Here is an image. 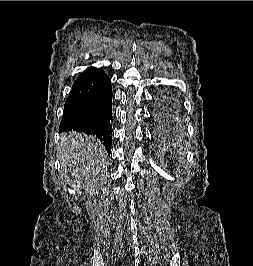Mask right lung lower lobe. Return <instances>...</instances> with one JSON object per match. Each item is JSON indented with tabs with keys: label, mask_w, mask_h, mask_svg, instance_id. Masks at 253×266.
I'll return each instance as SVG.
<instances>
[{
	"label": "right lung lower lobe",
	"mask_w": 253,
	"mask_h": 266,
	"mask_svg": "<svg viewBox=\"0 0 253 266\" xmlns=\"http://www.w3.org/2000/svg\"><path fill=\"white\" fill-rule=\"evenodd\" d=\"M112 88L100 68H87L74 82L66 99L59 131H79L99 138L108 154L112 144Z\"/></svg>",
	"instance_id": "1"
}]
</instances>
